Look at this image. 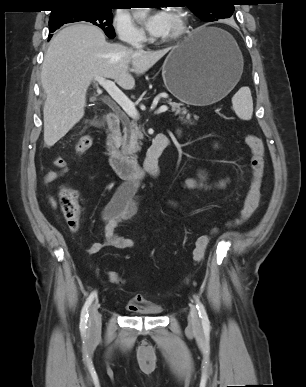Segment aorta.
<instances>
[{"label":"aorta","instance_id":"aorta-1","mask_svg":"<svg viewBox=\"0 0 306 387\" xmlns=\"http://www.w3.org/2000/svg\"><path fill=\"white\" fill-rule=\"evenodd\" d=\"M135 15L138 17H144L147 14V8H135Z\"/></svg>","mask_w":306,"mask_h":387}]
</instances>
